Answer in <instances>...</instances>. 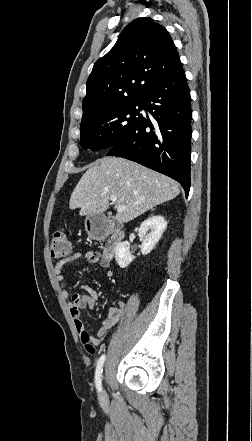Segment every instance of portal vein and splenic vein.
Instances as JSON below:
<instances>
[{
    "mask_svg": "<svg viewBox=\"0 0 252 441\" xmlns=\"http://www.w3.org/2000/svg\"><path fill=\"white\" fill-rule=\"evenodd\" d=\"M110 199L113 203H115L117 200L116 196H111ZM125 209H126L125 206H121V205L117 206V211L119 212L124 211Z\"/></svg>",
    "mask_w": 252,
    "mask_h": 441,
    "instance_id": "obj_1",
    "label": "portal vein and splenic vein"
}]
</instances>
